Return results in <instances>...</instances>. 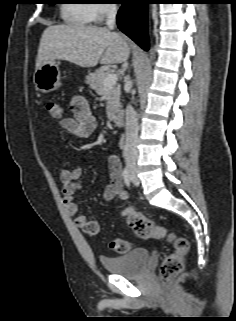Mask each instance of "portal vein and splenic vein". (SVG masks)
<instances>
[{"label":"portal vein and splenic vein","mask_w":236,"mask_h":321,"mask_svg":"<svg viewBox=\"0 0 236 321\" xmlns=\"http://www.w3.org/2000/svg\"><path fill=\"white\" fill-rule=\"evenodd\" d=\"M118 80V76L115 73H109L107 74V76L104 78V85L106 87H111L113 85H115L117 83Z\"/></svg>","instance_id":"obj_1"}]
</instances>
